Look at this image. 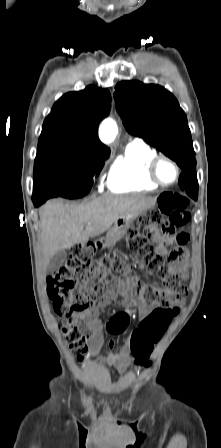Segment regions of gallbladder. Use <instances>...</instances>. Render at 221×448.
<instances>
[{
	"label": "gallbladder",
	"mask_w": 221,
	"mask_h": 448,
	"mask_svg": "<svg viewBox=\"0 0 221 448\" xmlns=\"http://www.w3.org/2000/svg\"><path fill=\"white\" fill-rule=\"evenodd\" d=\"M67 251L66 249L58 251L49 261L47 269L49 272L57 270L60 265L66 260Z\"/></svg>",
	"instance_id": "gallbladder-1"
}]
</instances>
